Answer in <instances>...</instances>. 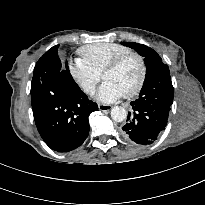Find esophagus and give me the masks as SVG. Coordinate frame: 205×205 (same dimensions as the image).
I'll list each match as a JSON object with an SVG mask.
<instances>
[{
  "instance_id": "34e87169",
  "label": "esophagus",
  "mask_w": 205,
  "mask_h": 205,
  "mask_svg": "<svg viewBox=\"0 0 205 205\" xmlns=\"http://www.w3.org/2000/svg\"><path fill=\"white\" fill-rule=\"evenodd\" d=\"M98 108L101 111H109V110H111L112 106L111 105H106V104H99Z\"/></svg>"
}]
</instances>
